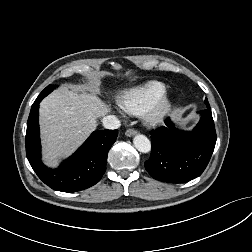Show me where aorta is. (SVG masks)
Instances as JSON below:
<instances>
[{"label":"aorta","mask_w":252,"mask_h":252,"mask_svg":"<svg viewBox=\"0 0 252 252\" xmlns=\"http://www.w3.org/2000/svg\"><path fill=\"white\" fill-rule=\"evenodd\" d=\"M133 143L139 152L148 153L151 150V142L145 135H136L133 139Z\"/></svg>","instance_id":"762f6f07"}]
</instances>
